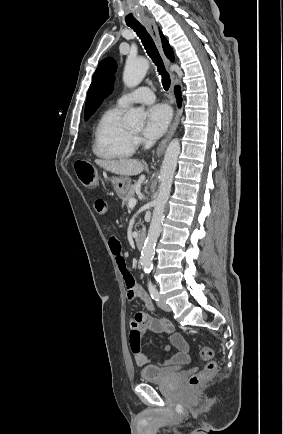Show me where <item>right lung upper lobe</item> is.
<instances>
[{"instance_id": "cb5924a9", "label": "right lung upper lobe", "mask_w": 283, "mask_h": 434, "mask_svg": "<svg viewBox=\"0 0 283 434\" xmlns=\"http://www.w3.org/2000/svg\"><path fill=\"white\" fill-rule=\"evenodd\" d=\"M160 35H161V39H162V43H163V49H164L166 56L171 61H174V54H173V51H172L170 45L168 44V41L166 40V38L162 34H160Z\"/></svg>"}]
</instances>
